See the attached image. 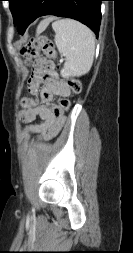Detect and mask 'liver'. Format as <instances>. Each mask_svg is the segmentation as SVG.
I'll list each match as a JSON object with an SVG mask.
<instances>
[{
	"label": "liver",
	"instance_id": "liver-1",
	"mask_svg": "<svg viewBox=\"0 0 133 253\" xmlns=\"http://www.w3.org/2000/svg\"><path fill=\"white\" fill-rule=\"evenodd\" d=\"M53 19H54L53 17H47L46 19L41 21L37 27V34L43 32Z\"/></svg>",
	"mask_w": 133,
	"mask_h": 253
}]
</instances>
